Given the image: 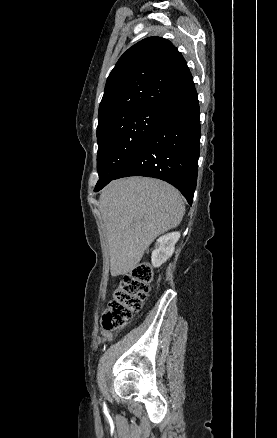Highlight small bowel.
I'll list each match as a JSON object with an SVG mask.
<instances>
[{"mask_svg": "<svg viewBox=\"0 0 277 438\" xmlns=\"http://www.w3.org/2000/svg\"><path fill=\"white\" fill-rule=\"evenodd\" d=\"M101 337H103L107 340H112L113 335L111 333H108V332H103V333H101Z\"/></svg>", "mask_w": 277, "mask_h": 438, "instance_id": "c3829d8e", "label": "small bowel"}]
</instances>
